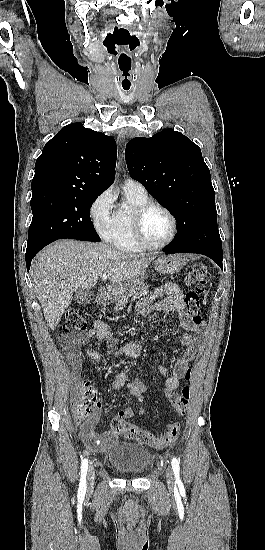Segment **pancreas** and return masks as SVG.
I'll return each instance as SVG.
<instances>
[{
	"label": "pancreas",
	"instance_id": "pancreas-1",
	"mask_svg": "<svg viewBox=\"0 0 265 550\" xmlns=\"http://www.w3.org/2000/svg\"><path fill=\"white\" fill-rule=\"evenodd\" d=\"M148 292V285L142 282L138 283L137 286L130 288L129 291L118 300L115 310L118 311L124 308L125 305L128 303L130 297H132L133 299H137L139 297L147 295Z\"/></svg>",
	"mask_w": 265,
	"mask_h": 550
}]
</instances>
